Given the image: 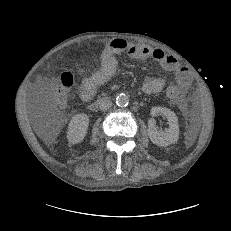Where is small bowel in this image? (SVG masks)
<instances>
[{
    "label": "small bowel",
    "mask_w": 231,
    "mask_h": 231,
    "mask_svg": "<svg viewBox=\"0 0 231 231\" xmlns=\"http://www.w3.org/2000/svg\"><path fill=\"white\" fill-rule=\"evenodd\" d=\"M121 54H127L134 59L153 60L165 70L175 74L177 84L182 90L187 89L192 81V76L188 69L180 64L175 57L166 54L163 50L138 45L123 38H115L107 44L105 51L102 53L98 71L91 76H83L84 69L79 70L82 78L78 94L83 101L91 100L97 89L115 76ZM164 85L165 82L161 78L146 77L142 85V91L145 94H155L160 92Z\"/></svg>",
    "instance_id": "small-bowel-1"
}]
</instances>
